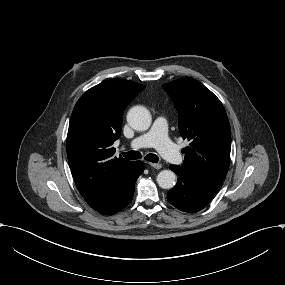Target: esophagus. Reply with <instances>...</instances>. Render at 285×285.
<instances>
[{
    "label": "esophagus",
    "instance_id": "esophagus-1",
    "mask_svg": "<svg viewBox=\"0 0 285 285\" xmlns=\"http://www.w3.org/2000/svg\"><path fill=\"white\" fill-rule=\"evenodd\" d=\"M149 165L157 170L161 169L162 167L160 163H149Z\"/></svg>",
    "mask_w": 285,
    "mask_h": 285
}]
</instances>
